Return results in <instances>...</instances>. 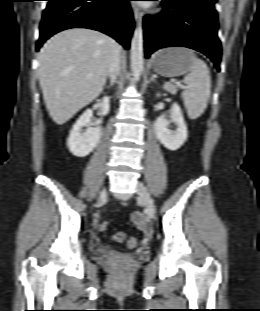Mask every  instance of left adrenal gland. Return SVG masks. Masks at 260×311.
<instances>
[{"label": "left adrenal gland", "instance_id": "a2214340", "mask_svg": "<svg viewBox=\"0 0 260 311\" xmlns=\"http://www.w3.org/2000/svg\"><path fill=\"white\" fill-rule=\"evenodd\" d=\"M150 82L152 81V82H155V79H154V77L153 76H151V78H150V80H149Z\"/></svg>", "mask_w": 260, "mask_h": 311}]
</instances>
